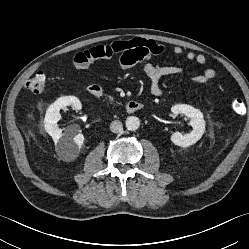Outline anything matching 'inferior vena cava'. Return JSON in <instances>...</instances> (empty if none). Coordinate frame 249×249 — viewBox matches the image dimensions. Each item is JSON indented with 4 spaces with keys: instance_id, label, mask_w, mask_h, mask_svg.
Instances as JSON below:
<instances>
[{
    "instance_id": "obj_1",
    "label": "inferior vena cava",
    "mask_w": 249,
    "mask_h": 249,
    "mask_svg": "<svg viewBox=\"0 0 249 249\" xmlns=\"http://www.w3.org/2000/svg\"><path fill=\"white\" fill-rule=\"evenodd\" d=\"M110 130L113 133H120L123 130V126H122L121 121H119V120L112 121L110 124Z\"/></svg>"
}]
</instances>
